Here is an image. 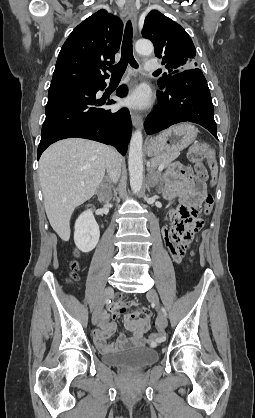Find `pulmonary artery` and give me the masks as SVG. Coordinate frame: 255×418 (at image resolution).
Listing matches in <instances>:
<instances>
[{"label":"pulmonary artery","instance_id":"pulmonary-artery-1","mask_svg":"<svg viewBox=\"0 0 255 418\" xmlns=\"http://www.w3.org/2000/svg\"><path fill=\"white\" fill-rule=\"evenodd\" d=\"M159 68V63L154 59H149L145 63V70L148 72H153Z\"/></svg>","mask_w":255,"mask_h":418}]
</instances>
